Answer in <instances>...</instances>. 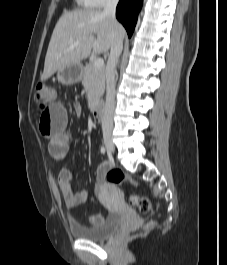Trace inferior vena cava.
Returning a JSON list of instances; mask_svg holds the SVG:
<instances>
[{
	"label": "inferior vena cava",
	"mask_w": 227,
	"mask_h": 265,
	"mask_svg": "<svg viewBox=\"0 0 227 265\" xmlns=\"http://www.w3.org/2000/svg\"><path fill=\"white\" fill-rule=\"evenodd\" d=\"M119 0H106L103 14L117 24L115 12ZM123 39L115 32L113 36V44L111 46L110 55L106 65V103L105 111L102 119L103 132H111L113 128V113L115 108V73L119 56L122 52Z\"/></svg>",
	"instance_id": "1"
}]
</instances>
